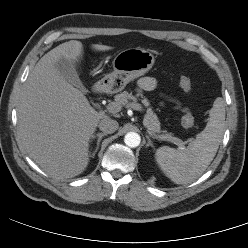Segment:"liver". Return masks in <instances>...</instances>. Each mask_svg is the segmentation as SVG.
I'll list each match as a JSON object with an SVG mask.
<instances>
[{
  "instance_id": "6515ba94",
  "label": "liver",
  "mask_w": 248,
  "mask_h": 248,
  "mask_svg": "<svg viewBox=\"0 0 248 248\" xmlns=\"http://www.w3.org/2000/svg\"><path fill=\"white\" fill-rule=\"evenodd\" d=\"M95 51L113 49L92 44ZM83 44L71 40L46 53L29 74L17 107L18 136L29 157L48 175L67 179L81 174L89 162V142L105 115L58 72L65 58L79 63Z\"/></svg>"
}]
</instances>
